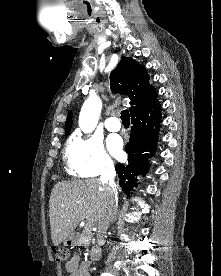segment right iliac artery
<instances>
[{
    "mask_svg": "<svg viewBox=\"0 0 221 276\" xmlns=\"http://www.w3.org/2000/svg\"><path fill=\"white\" fill-rule=\"evenodd\" d=\"M101 276H112V275L107 274V273H104V274H102Z\"/></svg>",
    "mask_w": 221,
    "mask_h": 276,
    "instance_id": "right-iliac-artery-1",
    "label": "right iliac artery"
}]
</instances>
